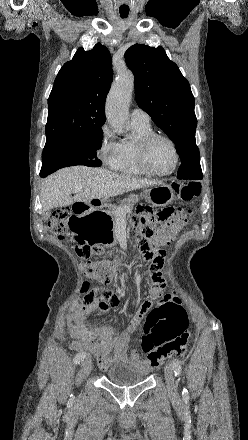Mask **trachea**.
Returning <instances> with one entry per match:
<instances>
[{
	"mask_svg": "<svg viewBox=\"0 0 248 440\" xmlns=\"http://www.w3.org/2000/svg\"><path fill=\"white\" fill-rule=\"evenodd\" d=\"M121 17H122V18H126V17H127V15H121Z\"/></svg>",
	"mask_w": 248,
	"mask_h": 440,
	"instance_id": "3493384b",
	"label": "trachea"
}]
</instances>
